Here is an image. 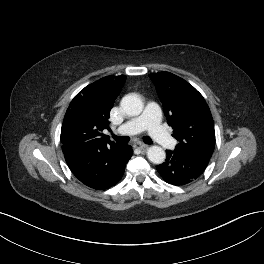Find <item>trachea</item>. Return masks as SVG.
Wrapping results in <instances>:
<instances>
[{
	"label": "trachea",
	"instance_id": "3493384b",
	"mask_svg": "<svg viewBox=\"0 0 264 264\" xmlns=\"http://www.w3.org/2000/svg\"><path fill=\"white\" fill-rule=\"evenodd\" d=\"M113 138L118 142V143H128L129 142V138L127 136H115L113 135ZM143 141L147 144H152L153 141L149 138V137H144Z\"/></svg>",
	"mask_w": 264,
	"mask_h": 264
}]
</instances>
